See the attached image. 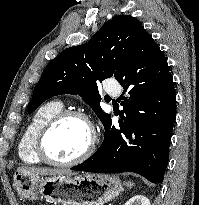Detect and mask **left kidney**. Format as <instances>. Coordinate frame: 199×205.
Returning <instances> with one entry per match:
<instances>
[{
	"label": "left kidney",
	"mask_w": 199,
	"mask_h": 205,
	"mask_svg": "<svg viewBox=\"0 0 199 205\" xmlns=\"http://www.w3.org/2000/svg\"><path fill=\"white\" fill-rule=\"evenodd\" d=\"M124 205H150V201L143 195H136L130 198Z\"/></svg>",
	"instance_id": "1"
}]
</instances>
